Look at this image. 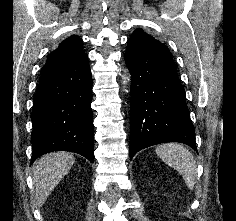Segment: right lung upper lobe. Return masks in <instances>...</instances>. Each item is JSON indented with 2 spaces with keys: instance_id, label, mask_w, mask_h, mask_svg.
Returning a JSON list of instances; mask_svg holds the SVG:
<instances>
[{
  "instance_id": "obj_1",
  "label": "right lung upper lobe",
  "mask_w": 236,
  "mask_h": 221,
  "mask_svg": "<svg viewBox=\"0 0 236 221\" xmlns=\"http://www.w3.org/2000/svg\"><path fill=\"white\" fill-rule=\"evenodd\" d=\"M85 58L87 56L82 49V40L77 36H70L51 52L42 71L76 63Z\"/></svg>"
}]
</instances>
